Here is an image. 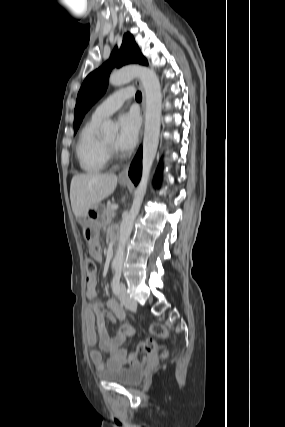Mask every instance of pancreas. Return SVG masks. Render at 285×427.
<instances>
[{
    "instance_id": "obj_1",
    "label": "pancreas",
    "mask_w": 285,
    "mask_h": 427,
    "mask_svg": "<svg viewBox=\"0 0 285 427\" xmlns=\"http://www.w3.org/2000/svg\"><path fill=\"white\" fill-rule=\"evenodd\" d=\"M113 205L114 204H112V203L107 204V207L104 211L103 218H102V227L103 228H106L110 224L111 220L116 215L115 211L112 209Z\"/></svg>"
}]
</instances>
